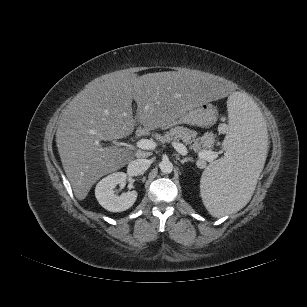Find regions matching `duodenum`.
Masks as SVG:
<instances>
[{
	"mask_svg": "<svg viewBox=\"0 0 307 307\" xmlns=\"http://www.w3.org/2000/svg\"><path fill=\"white\" fill-rule=\"evenodd\" d=\"M142 132H143V131H142V130H140L138 133H139V134H142Z\"/></svg>",
	"mask_w": 307,
	"mask_h": 307,
	"instance_id": "obj_1",
	"label": "duodenum"
}]
</instances>
